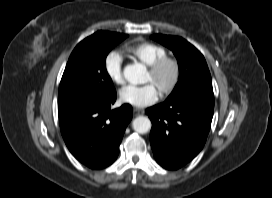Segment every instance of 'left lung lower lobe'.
<instances>
[{
  "mask_svg": "<svg viewBox=\"0 0 272 198\" xmlns=\"http://www.w3.org/2000/svg\"><path fill=\"white\" fill-rule=\"evenodd\" d=\"M214 110V95L191 93L146 109L156 161L169 170L191 161L203 148Z\"/></svg>",
  "mask_w": 272,
  "mask_h": 198,
  "instance_id": "obj_1",
  "label": "left lung lower lobe"
}]
</instances>
